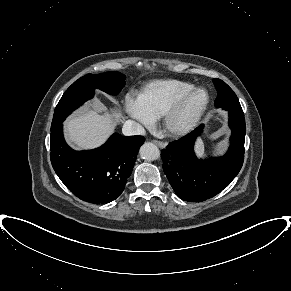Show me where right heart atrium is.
<instances>
[{"mask_svg":"<svg viewBox=\"0 0 291 291\" xmlns=\"http://www.w3.org/2000/svg\"><path fill=\"white\" fill-rule=\"evenodd\" d=\"M127 114L144 126H150L153 119L143 110L137 99L127 97L125 99Z\"/></svg>","mask_w":291,"mask_h":291,"instance_id":"right-heart-atrium-1","label":"right heart atrium"}]
</instances>
